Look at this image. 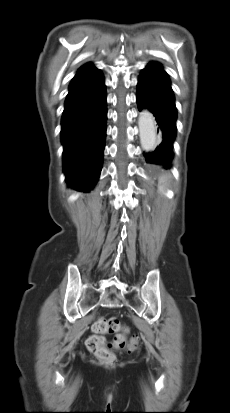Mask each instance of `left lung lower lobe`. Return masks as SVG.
Listing matches in <instances>:
<instances>
[{"instance_id":"1","label":"left lung lower lobe","mask_w":230,"mask_h":413,"mask_svg":"<svg viewBox=\"0 0 230 413\" xmlns=\"http://www.w3.org/2000/svg\"><path fill=\"white\" fill-rule=\"evenodd\" d=\"M138 109H149L155 116L163 134L160 145L151 152H144L147 163L169 168L173 158L176 136L177 109L167 73L157 62H151L141 72L137 85Z\"/></svg>"}]
</instances>
